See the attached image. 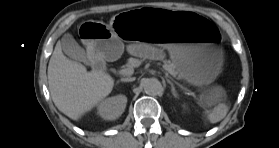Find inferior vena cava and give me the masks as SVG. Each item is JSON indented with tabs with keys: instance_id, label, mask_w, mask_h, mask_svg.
I'll return each mask as SVG.
<instances>
[{
	"instance_id": "602c4592",
	"label": "inferior vena cava",
	"mask_w": 279,
	"mask_h": 148,
	"mask_svg": "<svg viewBox=\"0 0 279 148\" xmlns=\"http://www.w3.org/2000/svg\"><path fill=\"white\" fill-rule=\"evenodd\" d=\"M135 78H123L122 81H126V82H129V81H134Z\"/></svg>"
}]
</instances>
